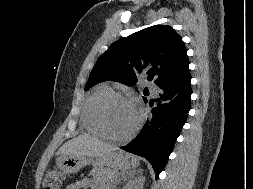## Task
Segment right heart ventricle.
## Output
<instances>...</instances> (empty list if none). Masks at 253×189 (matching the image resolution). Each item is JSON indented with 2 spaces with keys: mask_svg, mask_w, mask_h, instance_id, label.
Returning <instances> with one entry per match:
<instances>
[{
  "mask_svg": "<svg viewBox=\"0 0 253 189\" xmlns=\"http://www.w3.org/2000/svg\"><path fill=\"white\" fill-rule=\"evenodd\" d=\"M113 90L111 87L107 85H101L97 87L84 101L81 111V121L83 127L92 134L95 135H103L100 127L97 124L96 118H95V107L98 101L112 93Z\"/></svg>",
  "mask_w": 253,
  "mask_h": 189,
  "instance_id": "1",
  "label": "right heart ventricle"
}]
</instances>
